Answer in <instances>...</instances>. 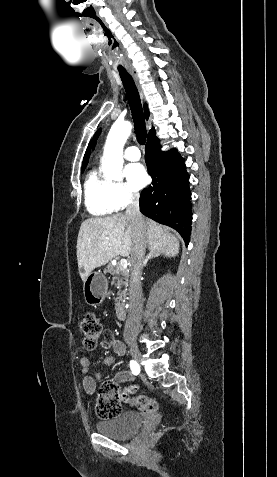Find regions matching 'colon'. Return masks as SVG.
<instances>
[{
    "mask_svg": "<svg viewBox=\"0 0 277 477\" xmlns=\"http://www.w3.org/2000/svg\"><path fill=\"white\" fill-rule=\"evenodd\" d=\"M80 329L84 347L88 350L94 349L102 333V325L98 317L93 313L84 314L80 319ZM123 403L135 405L138 410L145 413L155 412L158 408L154 399L145 395L130 398L121 391L116 382L110 380L104 382L100 388L96 412L101 418H111L122 412Z\"/></svg>",
    "mask_w": 277,
    "mask_h": 477,
    "instance_id": "1",
    "label": "colon"
}]
</instances>
